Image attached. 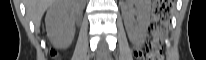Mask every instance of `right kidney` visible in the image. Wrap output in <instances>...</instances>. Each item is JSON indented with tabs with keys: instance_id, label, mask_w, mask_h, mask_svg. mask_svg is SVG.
<instances>
[{
	"instance_id": "right-kidney-1",
	"label": "right kidney",
	"mask_w": 206,
	"mask_h": 60,
	"mask_svg": "<svg viewBox=\"0 0 206 60\" xmlns=\"http://www.w3.org/2000/svg\"><path fill=\"white\" fill-rule=\"evenodd\" d=\"M77 0H59L53 3L46 14V28L52 42L59 47H67L74 37V24L69 15L77 9Z\"/></svg>"
}]
</instances>
